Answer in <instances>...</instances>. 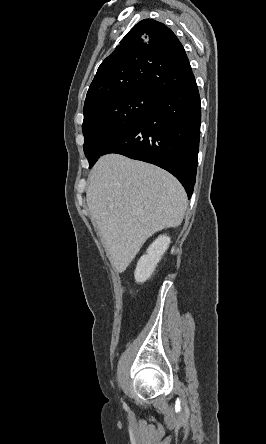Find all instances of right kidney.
I'll return each mask as SVG.
<instances>
[{"label": "right kidney", "instance_id": "1", "mask_svg": "<svg viewBox=\"0 0 266 444\" xmlns=\"http://www.w3.org/2000/svg\"><path fill=\"white\" fill-rule=\"evenodd\" d=\"M169 244L170 238L161 235L149 246L147 254L143 255L137 263L134 274L137 283H143L150 278Z\"/></svg>", "mask_w": 266, "mask_h": 444}]
</instances>
